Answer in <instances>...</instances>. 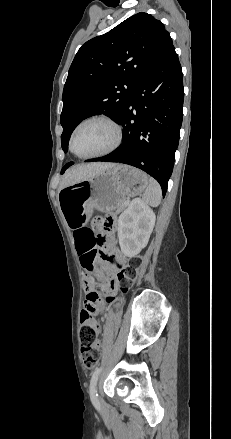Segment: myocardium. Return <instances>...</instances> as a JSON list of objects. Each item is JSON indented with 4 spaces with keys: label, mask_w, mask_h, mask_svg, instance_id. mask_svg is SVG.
I'll return each mask as SVG.
<instances>
[{
    "label": "myocardium",
    "mask_w": 231,
    "mask_h": 439,
    "mask_svg": "<svg viewBox=\"0 0 231 439\" xmlns=\"http://www.w3.org/2000/svg\"><path fill=\"white\" fill-rule=\"evenodd\" d=\"M97 120L103 121L112 127V129L114 131L113 143L105 150L97 152V153L88 154V155L77 154L73 148V139H74L75 133L85 123L90 122V121H97ZM122 141H123V130H122L121 125L117 122V120H115L113 117H111L107 114H93V115H90V116L82 119L81 121H79L75 125V127L72 129L70 137H69V149L72 152V154H74L79 159L100 158V157L109 155V154L113 153L115 150H117L120 147Z\"/></svg>",
    "instance_id": "myocardium-1"
}]
</instances>
